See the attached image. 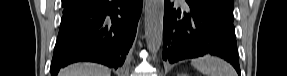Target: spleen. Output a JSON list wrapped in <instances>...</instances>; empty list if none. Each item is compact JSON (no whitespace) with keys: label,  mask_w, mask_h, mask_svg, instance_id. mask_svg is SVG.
Listing matches in <instances>:
<instances>
[{"label":"spleen","mask_w":287,"mask_h":76,"mask_svg":"<svg viewBox=\"0 0 287 76\" xmlns=\"http://www.w3.org/2000/svg\"><path fill=\"white\" fill-rule=\"evenodd\" d=\"M191 64L205 76H236L234 68L217 57L205 56L192 60Z\"/></svg>","instance_id":"3e777b00"}]
</instances>
